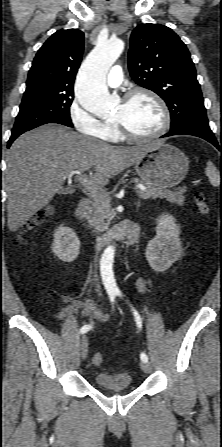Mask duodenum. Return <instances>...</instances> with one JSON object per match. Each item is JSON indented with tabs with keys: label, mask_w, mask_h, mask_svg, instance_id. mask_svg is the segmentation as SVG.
I'll return each mask as SVG.
<instances>
[{
	"label": "duodenum",
	"mask_w": 222,
	"mask_h": 447,
	"mask_svg": "<svg viewBox=\"0 0 222 447\" xmlns=\"http://www.w3.org/2000/svg\"><path fill=\"white\" fill-rule=\"evenodd\" d=\"M89 209V201L82 198L74 210V219L77 223H81ZM140 234L138 224L134 222H122L112 230V237L116 239L126 238L130 242H136Z\"/></svg>",
	"instance_id": "410a0bca"
}]
</instances>
